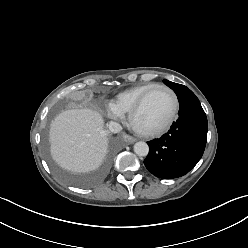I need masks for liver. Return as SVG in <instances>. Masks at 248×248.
I'll list each match as a JSON object with an SVG mask.
<instances>
[{
    "instance_id": "liver-1",
    "label": "liver",
    "mask_w": 248,
    "mask_h": 248,
    "mask_svg": "<svg viewBox=\"0 0 248 248\" xmlns=\"http://www.w3.org/2000/svg\"><path fill=\"white\" fill-rule=\"evenodd\" d=\"M49 137L53 159L70 172L93 171L107 154L103 119L91 109H71L60 113L51 123Z\"/></svg>"
}]
</instances>
